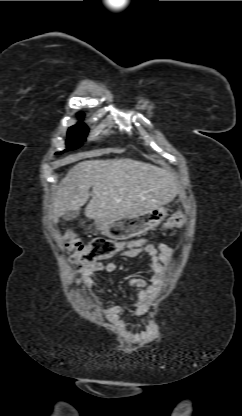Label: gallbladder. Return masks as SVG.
<instances>
[{
  "instance_id": "bac80fb5",
  "label": "gallbladder",
  "mask_w": 242,
  "mask_h": 416,
  "mask_svg": "<svg viewBox=\"0 0 242 416\" xmlns=\"http://www.w3.org/2000/svg\"><path fill=\"white\" fill-rule=\"evenodd\" d=\"M78 215H79V211H77V210H67L63 214V219L66 220V221H71V220L77 218Z\"/></svg>"
}]
</instances>
